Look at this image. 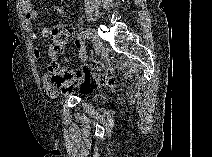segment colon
I'll return each instance as SVG.
<instances>
[{
  "label": "colon",
  "mask_w": 212,
  "mask_h": 157,
  "mask_svg": "<svg viewBox=\"0 0 212 157\" xmlns=\"http://www.w3.org/2000/svg\"><path fill=\"white\" fill-rule=\"evenodd\" d=\"M74 37V28L70 24H58L51 30V38L56 44L57 50L62 49ZM51 83L65 93L79 90L81 93H90L97 87L98 80L112 85L111 79L101 76L93 77L90 70L84 67L80 72H74L71 68L61 67L57 64L51 66Z\"/></svg>",
  "instance_id": "colon-1"
}]
</instances>
